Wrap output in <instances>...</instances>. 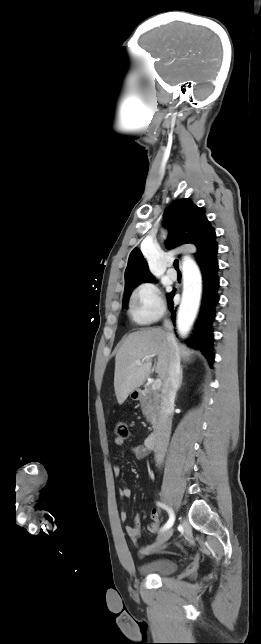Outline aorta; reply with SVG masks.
I'll return each mask as SVG.
<instances>
[{"label":"aorta","mask_w":261,"mask_h":644,"mask_svg":"<svg viewBox=\"0 0 261 644\" xmlns=\"http://www.w3.org/2000/svg\"><path fill=\"white\" fill-rule=\"evenodd\" d=\"M183 294L177 315V324L182 336L187 334L195 319L201 292V279L196 264L185 257L182 263Z\"/></svg>","instance_id":"762f6f07"}]
</instances>
